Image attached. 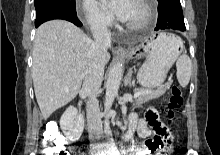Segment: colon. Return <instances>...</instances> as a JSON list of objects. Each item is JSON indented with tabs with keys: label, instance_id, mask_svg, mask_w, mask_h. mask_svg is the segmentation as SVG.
<instances>
[{
	"label": "colon",
	"instance_id": "1",
	"mask_svg": "<svg viewBox=\"0 0 220 155\" xmlns=\"http://www.w3.org/2000/svg\"><path fill=\"white\" fill-rule=\"evenodd\" d=\"M183 92L179 85L174 84L170 89L167 104V114L170 121L175 117L176 112L183 106ZM47 143H42V148H46L45 155H67L66 143H62L56 132H48L45 137ZM173 135L163 126L155 125V135L147 144L148 150L158 155H168V150L172 147Z\"/></svg>",
	"mask_w": 220,
	"mask_h": 155
}]
</instances>
